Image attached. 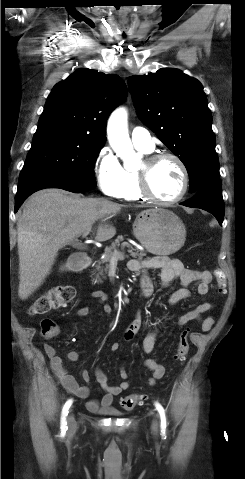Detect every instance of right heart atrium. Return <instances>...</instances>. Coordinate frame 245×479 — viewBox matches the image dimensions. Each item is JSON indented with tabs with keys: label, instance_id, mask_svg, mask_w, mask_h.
<instances>
[{
	"label": "right heart atrium",
	"instance_id": "1",
	"mask_svg": "<svg viewBox=\"0 0 245 479\" xmlns=\"http://www.w3.org/2000/svg\"><path fill=\"white\" fill-rule=\"evenodd\" d=\"M98 185L106 196L118 197L124 185V169L110 149H104L96 162Z\"/></svg>",
	"mask_w": 245,
	"mask_h": 479
}]
</instances>
